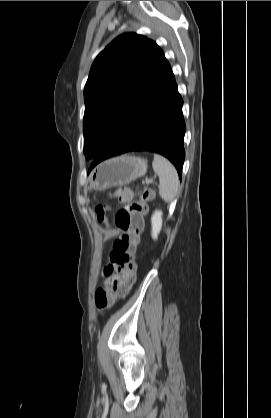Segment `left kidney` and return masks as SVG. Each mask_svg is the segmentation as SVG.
I'll return each mask as SVG.
<instances>
[{"mask_svg": "<svg viewBox=\"0 0 271 418\" xmlns=\"http://www.w3.org/2000/svg\"><path fill=\"white\" fill-rule=\"evenodd\" d=\"M151 224H152V238L156 240L162 228V212L155 211L151 217Z\"/></svg>", "mask_w": 271, "mask_h": 418, "instance_id": "obj_1", "label": "left kidney"}]
</instances>
